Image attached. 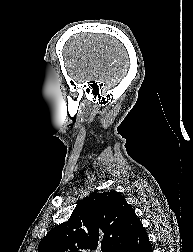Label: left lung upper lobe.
<instances>
[{
	"instance_id": "left-lung-upper-lobe-1",
	"label": "left lung upper lobe",
	"mask_w": 193,
	"mask_h": 252,
	"mask_svg": "<svg viewBox=\"0 0 193 252\" xmlns=\"http://www.w3.org/2000/svg\"><path fill=\"white\" fill-rule=\"evenodd\" d=\"M139 223L119 192L94 191L47 233L38 252H125Z\"/></svg>"
}]
</instances>
